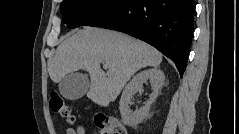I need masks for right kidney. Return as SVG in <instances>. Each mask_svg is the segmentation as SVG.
Instances as JSON below:
<instances>
[{
    "instance_id": "1",
    "label": "right kidney",
    "mask_w": 239,
    "mask_h": 134,
    "mask_svg": "<svg viewBox=\"0 0 239 134\" xmlns=\"http://www.w3.org/2000/svg\"><path fill=\"white\" fill-rule=\"evenodd\" d=\"M150 80L153 92L149 96L148 101L140 109L134 112L130 110L129 104L133 95L143 89V83ZM165 80V75L159 68H151L136 74L132 80L125 86L119 102V109L123 122L128 126H135L141 123L147 116L150 110V105L155 101L159 89L162 87Z\"/></svg>"
}]
</instances>
